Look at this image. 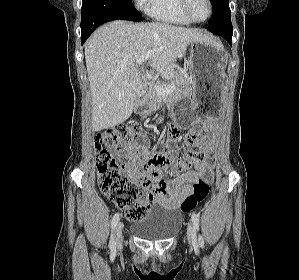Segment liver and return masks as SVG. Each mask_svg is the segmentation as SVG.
<instances>
[{"mask_svg":"<svg viewBox=\"0 0 299 280\" xmlns=\"http://www.w3.org/2000/svg\"><path fill=\"white\" fill-rule=\"evenodd\" d=\"M207 40L197 30L160 22L115 20L99 27L85 44L93 131L121 124L143 104L144 84L136 64L142 54L153 51L148 65L166 77L190 43Z\"/></svg>","mask_w":299,"mask_h":280,"instance_id":"1","label":"liver"}]
</instances>
